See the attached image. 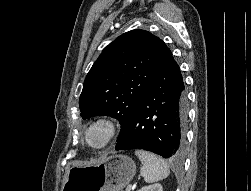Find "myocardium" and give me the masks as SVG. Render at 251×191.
<instances>
[{
	"label": "myocardium",
	"mask_w": 251,
	"mask_h": 191,
	"mask_svg": "<svg viewBox=\"0 0 251 191\" xmlns=\"http://www.w3.org/2000/svg\"><path fill=\"white\" fill-rule=\"evenodd\" d=\"M95 126L103 127L106 132V141H105L104 145L99 149L90 148L83 141L84 133L86 131H88L90 128L95 127ZM117 135H118V125H117L115 119L113 117H111L110 115L100 114V115H97V116H94L93 118H91L83 126V128L80 132V143L84 149H86L94 154H102V153L106 152L112 146Z\"/></svg>",
	"instance_id": "obj_1"
}]
</instances>
